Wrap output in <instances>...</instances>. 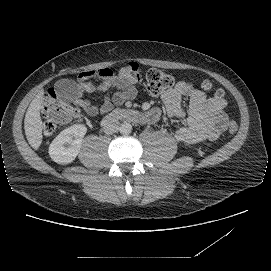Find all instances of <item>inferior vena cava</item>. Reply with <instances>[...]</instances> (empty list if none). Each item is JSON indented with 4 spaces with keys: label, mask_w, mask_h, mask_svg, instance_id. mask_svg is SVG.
<instances>
[{
    "label": "inferior vena cava",
    "mask_w": 271,
    "mask_h": 271,
    "mask_svg": "<svg viewBox=\"0 0 271 271\" xmlns=\"http://www.w3.org/2000/svg\"><path fill=\"white\" fill-rule=\"evenodd\" d=\"M101 125L103 126V131L106 134H113V133L117 132L120 128L119 120L113 116H106L102 120Z\"/></svg>",
    "instance_id": "1"
}]
</instances>
